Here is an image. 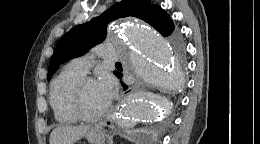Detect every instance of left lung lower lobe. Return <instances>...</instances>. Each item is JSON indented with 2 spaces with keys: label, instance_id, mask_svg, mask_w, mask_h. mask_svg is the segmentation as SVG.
Wrapping results in <instances>:
<instances>
[{
  "label": "left lung lower lobe",
  "instance_id": "left-lung-lower-lobe-1",
  "mask_svg": "<svg viewBox=\"0 0 260 144\" xmlns=\"http://www.w3.org/2000/svg\"><path fill=\"white\" fill-rule=\"evenodd\" d=\"M175 39L176 40H178V37L177 36H175ZM116 76H118V77H121L122 76V74L119 72ZM122 86L124 87V90H126L127 89V86L125 85V84H123L122 83Z\"/></svg>",
  "mask_w": 260,
  "mask_h": 144
}]
</instances>
